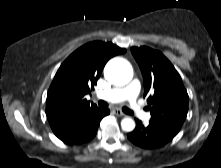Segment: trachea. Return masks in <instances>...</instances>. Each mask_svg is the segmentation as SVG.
<instances>
[{"label": "trachea", "instance_id": "trachea-1", "mask_svg": "<svg viewBox=\"0 0 221 168\" xmlns=\"http://www.w3.org/2000/svg\"><path fill=\"white\" fill-rule=\"evenodd\" d=\"M98 105H99V107H102V108L108 107V103L105 102V101H103V100H100V101L98 102ZM122 110H123V112H125L126 114H129V115H132V114H133V112H132L131 110H129L128 108H126V107H123Z\"/></svg>", "mask_w": 221, "mask_h": 168}]
</instances>
